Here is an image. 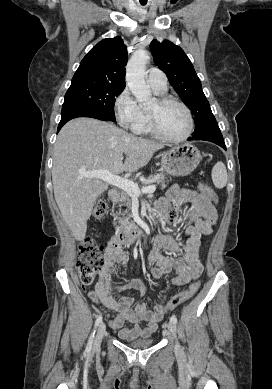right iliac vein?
<instances>
[{"label":"right iliac vein","instance_id":"obj_1","mask_svg":"<svg viewBox=\"0 0 272 389\" xmlns=\"http://www.w3.org/2000/svg\"><path fill=\"white\" fill-rule=\"evenodd\" d=\"M105 331H106V325L104 322H101L99 327H98L97 334H96V337L94 340V348L95 349L100 347V344L102 342Z\"/></svg>","mask_w":272,"mask_h":389}]
</instances>
